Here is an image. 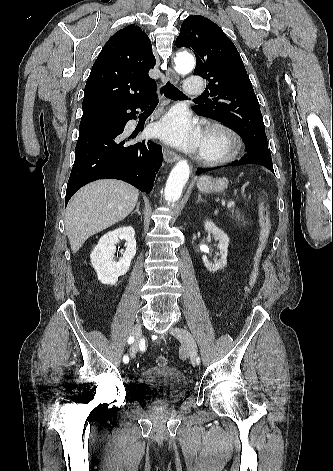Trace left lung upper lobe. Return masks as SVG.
I'll list each match as a JSON object with an SVG mask.
<instances>
[{
	"label": "left lung upper lobe",
	"instance_id": "obj_1",
	"mask_svg": "<svg viewBox=\"0 0 333 471\" xmlns=\"http://www.w3.org/2000/svg\"><path fill=\"white\" fill-rule=\"evenodd\" d=\"M176 46L193 50L194 75L206 78L207 94L213 97L192 109L236 130L246 140L248 152L268 150L258 99L240 54L222 29L203 16H189L181 25Z\"/></svg>",
	"mask_w": 333,
	"mask_h": 471
}]
</instances>
